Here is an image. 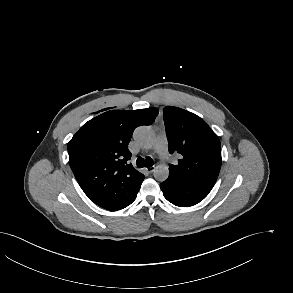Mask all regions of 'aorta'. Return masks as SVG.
<instances>
[{"instance_id":"obj_1","label":"aorta","mask_w":293,"mask_h":293,"mask_svg":"<svg viewBox=\"0 0 293 293\" xmlns=\"http://www.w3.org/2000/svg\"><path fill=\"white\" fill-rule=\"evenodd\" d=\"M134 139L144 148H151L155 143V134L148 126H140L134 132ZM154 178L160 182L165 181L169 169L165 164H158L153 170Z\"/></svg>"}]
</instances>
